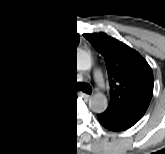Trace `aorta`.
Segmentation results:
<instances>
[{"label":"aorta","instance_id":"obj_1","mask_svg":"<svg viewBox=\"0 0 165 154\" xmlns=\"http://www.w3.org/2000/svg\"><path fill=\"white\" fill-rule=\"evenodd\" d=\"M94 61L87 52H79L77 55V67L82 71H89L93 68ZM90 107L95 111H103L108 106L107 97L102 93L94 94L90 99Z\"/></svg>","mask_w":165,"mask_h":154}]
</instances>
